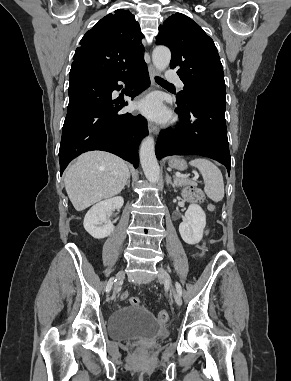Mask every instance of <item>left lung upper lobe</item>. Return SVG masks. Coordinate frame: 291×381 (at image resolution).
<instances>
[{
    "mask_svg": "<svg viewBox=\"0 0 291 381\" xmlns=\"http://www.w3.org/2000/svg\"><path fill=\"white\" fill-rule=\"evenodd\" d=\"M157 44L170 48V67L185 84L179 101L191 96L226 100L224 73L217 48L204 30L188 16L176 13L159 26Z\"/></svg>",
    "mask_w": 291,
    "mask_h": 381,
    "instance_id": "obj_1",
    "label": "left lung upper lobe"
}]
</instances>
